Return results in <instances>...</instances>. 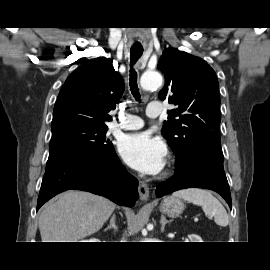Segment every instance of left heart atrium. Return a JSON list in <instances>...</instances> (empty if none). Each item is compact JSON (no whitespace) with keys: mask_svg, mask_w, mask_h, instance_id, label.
I'll return each instance as SVG.
<instances>
[{"mask_svg":"<svg viewBox=\"0 0 270 270\" xmlns=\"http://www.w3.org/2000/svg\"><path fill=\"white\" fill-rule=\"evenodd\" d=\"M119 153L131 168L155 175L165 166L167 149L160 139L148 133H134L121 139Z\"/></svg>","mask_w":270,"mask_h":270,"instance_id":"1","label":"left heart atrium"}]
</instances>
